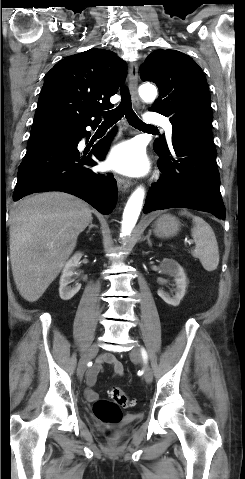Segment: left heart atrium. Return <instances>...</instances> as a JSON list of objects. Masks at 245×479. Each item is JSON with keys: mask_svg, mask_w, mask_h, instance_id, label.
Here are the masks:
<instances>
[{"mask_svg": "<svg viewBox=\"0 0 245 479\" xmlns=\"http://www.w3.org/2000/svg\"><path fill=\"white\" fill-rule=\"evenodd\" d=\"M106 165L108 168L130 176H139L148 169L145 151L135 141L117 145L110 153Z\"/></svg>", "mask_w": 245, "mask_h": 479, "instance_id": "left-heart-atrium-1", "label": "left heart atrium"}]
</instances>
